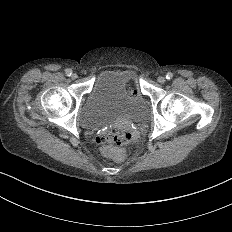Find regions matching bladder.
<instances>
[{"label":"bladder","instance_id":"31cf9c89","mask_svg":"<svg viewBox=\"0 0 232 232\" xmlns=\"http://www.w3.org/2000/svg\"><path fill=\"white\" fill-rule=\"evenodd\" d=\"M133 78L130 70L102 72L80 108L81 126L97 130L124 120L146 121L149 107L144 97L130 88Z\"/></svg>","mask_w":232,"mask_h":232}]
</instances>
